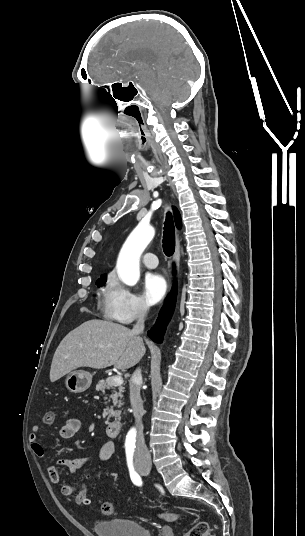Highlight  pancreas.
Listing matches in <instances>:
<instances>
[{
  "mask_svg": "<svg viewBox=\"0 0 305 536\" xmlns=\"http://www.w3.org/2000/svg\"><path fill=\"white\" fill-rule=\"evenodd\" d=\"M113 378V376H112ZM112 378H106V380H100L96 386L97 392H103L105 394V390H111L110 398H104V400H108V402H111L113 406H110V408H106L103 412V416H108V418H115V420H121L120 414L122 406V398L123 392H125V388L123 386H116V384H113ZM104 404H107V402H104ZM113 408H118V410H113Z\"/></svg>",
  "mask_w": 305,
  "mask_h": 536,
  "instance_id": "obj_1",
  "label": "pancreas"
}]
</instances>
